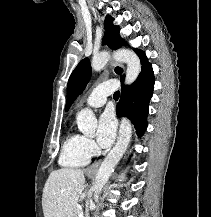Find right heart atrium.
I'll use <instances>...</instances> for the list:
<instances>
[{"instance_id": "obj_1", "label": "right heart atrium", "mask_w": 211, "mask_h": 217, "mask_svg": "<svg viewBox=\"0 0 211 217\" xmlns=\"http://www.w3.org/2000/svg\"><path fill=\"white\" fill-rule=\"evenodd\" d=\"M84 146L90 156L94 155L97 152V146L95 142L90 138L84 137Z\"/></svg>"}]
</instances>
